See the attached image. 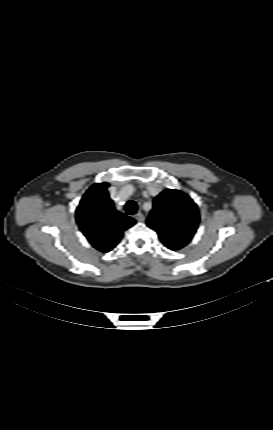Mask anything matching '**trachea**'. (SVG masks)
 <instances>
[{
    "mask_svg": "<svg viewBox=\"0 0 273 430\" xmlns=\"http://www.w3.org/2000/svg\"><path fill=\"white\" fill-rule=\"evenodd\" d=\"M125 210L129 215L137 213V203L132 200L128 201L126 203Z\"/></svg>",
    "mask_w": 273,
    "mask_h": 430,
    "instance_id": "trachea-1",
    "label": "trachea"
}]
</instances>
